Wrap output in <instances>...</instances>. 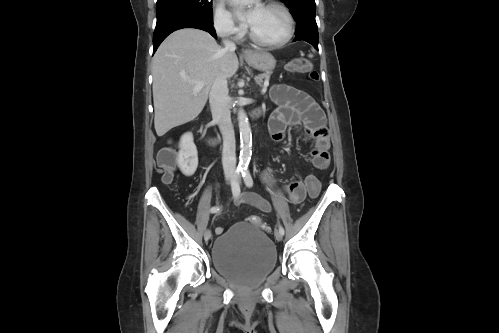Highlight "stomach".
I'll return each instance as SVG.
<instances>
[{
  "instance_id": "0dacf381",
  "label": "stomach",
  "mask_w": 499,
  "mask_h": 333,
  "mask_svg": "<svg viewBox=\"0 0 499 333\" xmlns=\"http://www.w3.org/2000/svg\"><path fill=\"white\" fill-rule=\"evenodd\" d=\"M244 59L250 66L259 71L269 72L276 66V60L273 55L263 50L250 52Z\"/></svg>"
}]
</instances>
